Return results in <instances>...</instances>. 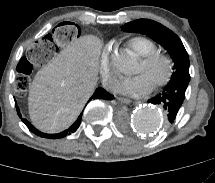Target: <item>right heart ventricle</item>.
Here are the masks:
<instances>
[{
  "label": "right heart ventricle",
  "mask_w": 215,
  "mask_h": 183,
  "mask_svg": "<svg viewBox=\"0 0 215 183\" xmlns=\"http://www.w3.org/2000/svg\"><path fill=\"white\" fill-rule=\"evenodd\" d=\"M128 47L137 55L144 56L157 49L154 41L142 35H137L127 40Z\"/></svg>",
  "instance_id": "1"
}]
</instances>
